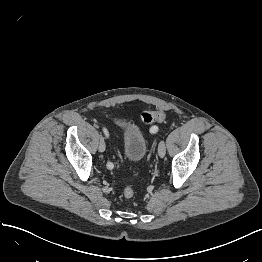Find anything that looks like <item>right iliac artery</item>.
<instances>
[{"mask_svg":"<svg viewBox=\"0 0 262 262\" xmlns=\"http://www.w3.org/2000/svg\"><path fill=\"white\" fill-rule=\"evenodd\" d=\"M103 132H104V134H105L106 137L109 136L108 131H107L106 128H103ZM107 167H108V168H113L114 166H113V164H112L111 162H108V163H107Z\"/></svg>","mask_w":262,"mask_h":262,"instance_id":"obj_1","label":"right iliac artery"}]
</instances>
